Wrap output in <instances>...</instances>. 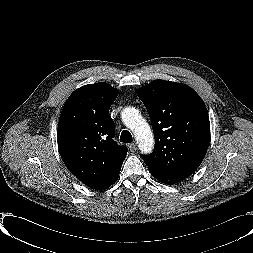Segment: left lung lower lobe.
Here are the masks:
<instances>
[{
    "label": "left lung lower lobe",
    "mask_w": 253,
    "mask_h": 253,
    "mask_svg": "<svg viewBox=\"0 0 253 253\" xmlns=\"http://www.w3.org/2000/svg\"><path fill=\"white\" fill-rule=\"evenodd\" d=\"M153 177L165 184H175L189 177L190 174H180V173H165L160 171L149 170Z\"/></svg>",
    "instance_id": "left-lung-lower-lobe-1"
}]
</instances>
